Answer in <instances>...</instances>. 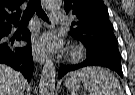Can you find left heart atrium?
<instances>
[{"label":"left heart atrium","mask_w":135,"mask_h":95,"mask_svg":"<svg viewBox=\"0 0 135 95\" xmlns=\"http://www.w3.org/2000/svg\"><path fill=\"white\" fill-rule=\"evenodd\" d=\"M36 48L42 52H51L60 48V43L51 34H45L36 42Z\"/></svg>","instance_id":"obj_1"}]
</instances>
